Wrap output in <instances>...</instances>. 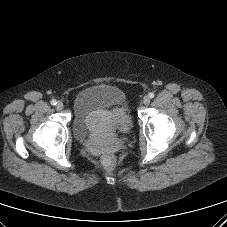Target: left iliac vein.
<instances>
[{"label": "left iliac vein", "instance_id": "left-iliac-vein-1", "mask_svg": "<svg viewBox=\"0 0 227 227\" xmlns=\"http://www.w3.org/2000/svg\"><path fill=\"white\" fill-rule=\"evenodd\" d=\"M142 102H143L144 105H148L150 103V98L148 96H145L143 98V101Z\"/></svg>", "mask_w": 227, "mask_h": 227}]
</instances>
